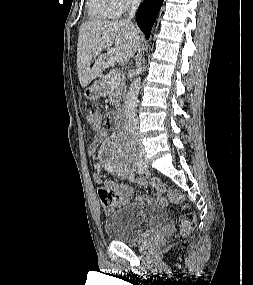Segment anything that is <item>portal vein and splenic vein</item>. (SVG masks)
<instances>
[{
    "mask_svg": "<svg viewBox=\"0 0 253 285\" xmlns=\"http://www.w3.org/2000/svg\"><path fill=\"white\" fill-rule=\"evenodd\" d=\"M112 46V43H109L107 45H105L104 47L109 48ZM101 49V48H98ZM121 81V77H120V73L118 72H114L113 75L111 76L109 83L111 85H117L119 82Z\"/></svg>",
    "mask_w": 253,
    "mask_h": 285,
    "instance_id": "portal-vein-and-splenic-vein-1",
    "label": "portal vein and splenic vein"
}]
</instances>
